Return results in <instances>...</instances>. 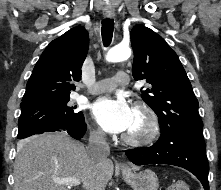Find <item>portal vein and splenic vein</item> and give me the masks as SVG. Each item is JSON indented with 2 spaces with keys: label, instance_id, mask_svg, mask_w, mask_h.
<instances>
[{
  "label": "portal vein and splenic vein",
  "instance_id": "18ae733b",
  "mask_svg": "<svg viewBox=\"0 0 221 190\" xmlns=\"http://www.w3.org/2000/svg\"><path fill=\"white\" fill-rule=\"evenodd\" d=\"M54 181L58 184H64L67 187L78 186L81 184L80 180L77 178H57Z\"/></svg>",
  "mask_w": 221,
  "mask_h": 190
}]
</instances>
